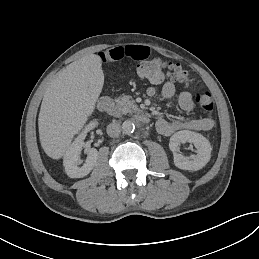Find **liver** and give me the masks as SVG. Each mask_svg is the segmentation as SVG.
<instances>
[{
  "instance_id": "6515ba94",
  "label": "liver",
  "mask_w": 259,
  "mask_h": 259,
  "mask_svg": "<svg viewBox=\"0 0 259 259\" xmlns=\"http://www.w3.org/2000/svg\"><path fill=\"white\" fill-rule=\"evenodd\" d=\"M98 55L84 56L59 72L47 87L38 127L45 153L59 159L92 114L102 91L104 74Z\"/></svg>"
}]
</instances>
